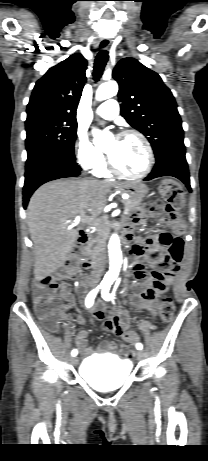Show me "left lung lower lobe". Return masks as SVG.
<instances>
[{
    "label": "left lung lower lobe",
    "instance_id": "1",
    "mask_svg": "<svg viewBox=\"0 0 208 461\" xmlns=\"http://www.w3.org/2000/svg\"><path fill=\"white\" fill-rule=\"evenodd\" d=\"M173 176L180 179L192 191L190 186L188 164L185 158V147H172L156 157V164L145 181L162 177Z\"/></svg>",
    "mask_w": 208,
    "mask_h": 461
}]
</instances>
